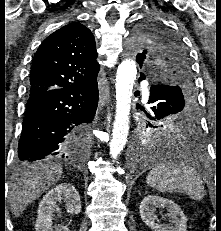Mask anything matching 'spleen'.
Returning a JSON list of instances; mask_svg holds the SVG:
<instances>
[{
    "label": "spleen",
    "instance_id": "3e777b00",
    "mask_svg": "<svg viewBox=\"0 0 221 231\" xmlns=\"http://www.w3.org/2000/svg\"><path fill=\"white\" fill-rule=\"evenodd\" d=\"M146 182L163 193H182L194 200L205 195L201 176L190 166L175 160H163L147 175Z\"/></svg>",
    "mask_w": 221,
    "mask_h": 231
}]
</instances>
